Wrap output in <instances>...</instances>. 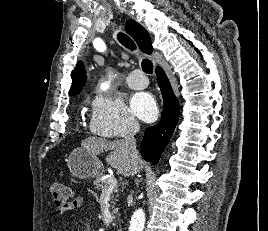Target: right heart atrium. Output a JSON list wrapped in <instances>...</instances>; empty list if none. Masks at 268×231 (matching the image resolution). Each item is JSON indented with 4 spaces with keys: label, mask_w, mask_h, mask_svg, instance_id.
Masks as SVG:
<instances>
[{
    "label": "right heart atrium",
    "mask_w": 268,
    "mask_h": 231,
    "mask_svg": "<svg viewBox=\"0 0 268 231\" xmlns=\"http://www.w3.org/2000/svg\"><path fill=\"white\" fill-rule=\"evenodd\" d=\"M90 106V129L93 134L100 137L127 138L138 125L119 96L96 94Z\"/></svg>",
    "instance_id": "obj_1"
}]
</instances>
